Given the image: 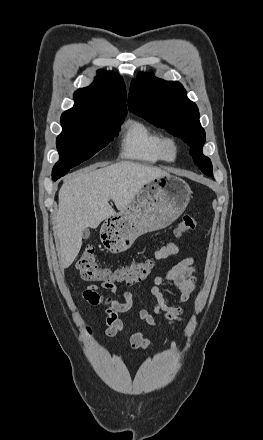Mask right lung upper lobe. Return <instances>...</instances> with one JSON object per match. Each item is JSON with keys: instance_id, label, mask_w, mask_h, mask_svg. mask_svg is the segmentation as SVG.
Here are the masks:
<instances>
[{"instance_id": "cb5924a9", "label": "right lung upper lobe", "mask_w": 263, "mask_h": 440, "mask_svg": "<svg viewBox=\"0 0 263 440\" xmlns=\"http://www.w3.org/2000/svg\"><path fill=\"white\" fill-rule=\"evenodd\" d=\"M93 84L74 93V107L65 111L61 123H80L98 115H126V89L123 79L108 71H99Z\"/></svg>"}]
</instances>
